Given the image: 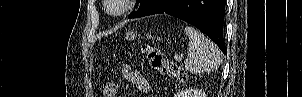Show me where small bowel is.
<instances>
[{
    "instance_id": "small-bowel-1",
    "label": "small bowel",
    "mask_w": 302,
    "mask_h": 97,
    "mask_svg": "<svg viewBox=\"0 0 302 97\" xmlns=\"http://www.w3.org/2000/svg\"><path fill=\"white\" fill-rule=\"evenodd\" d=\"M122 77L124 81L135 85L140 93H147L150 91L149 81L137 70L132 69L128 65L122 67Z\"/></svg>"
}]
</instances>
